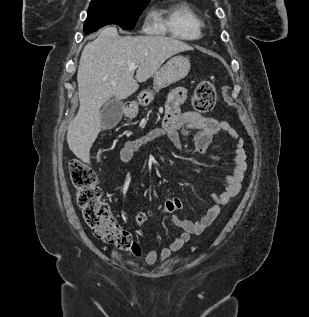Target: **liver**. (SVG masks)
<instances>
[{"label": "liver", "mask_w": 309, "mask_h": 317, "mask_svg": "<svg viewBox=\"0 0 309 317\" xmlns=\"http://www.w3.org/2000/svg\"><path fill=\"white\" fill-rule=\"evenodd\" d=\"M193 50L188 44L164 36H120L117 28H104L83 49L77 72L79 111L67 130V142L77 158L90 163V149L101 131V108L111 98L126 99L171 56ZM130 63L138 68L136 79Z\"/></svg>", "instance_id": "1"}]
</instances>
